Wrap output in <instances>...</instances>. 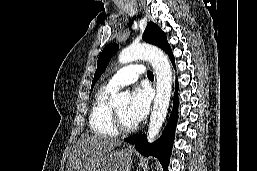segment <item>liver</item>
<instances>
[{
  "label": "liver",
  "mask_w": 257,
  "mask_h": 171,
  "mask_svg": "<svg viewBox=\"0 0 257 171\" xmlns=\"http://www.w3.org/2000/svg\"><path fill=\"white\" fill-rule=\"evenodd\" d=\"M121 144L122 141L115 138H81L70 153L66 171H94L103 156Z\"/></svg>",
  "instance_id": "liver-1"
}]
</instances>
